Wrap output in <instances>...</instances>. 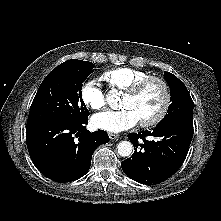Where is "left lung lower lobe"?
Segmentation results:
<instances>
[{"instance_id": "0a47b994", "label": "left lung lower lobe", "mask_w": 221, "mask_h": 221, "mask_svg": "<svg viewBox=\"0 0 221 221\" xmlns=\"http://www.w3.org/2000/svg\"><path fill=\"white\" fill-rule=\"evenodd\" d=\"M193 123L170 122L151 131L130 133L134 153L122 162L124 173L134 181L156 184L175 173L186 158L193 137ZM147 136L157 139L149 141Z\"/></svg>"}]
</instances>
